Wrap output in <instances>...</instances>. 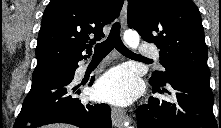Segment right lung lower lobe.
Returning a JSON list of instances; mask_svg holds the SVG:
<instances>
[{
    "mask_svg": "<svg viewBox=\"0 0 221 128\" xmlns=\"http://www.w3.org/2000/svg\"><path fill=\"white\" fill-rule=\"evenodd\" d=\"M78 64L33 79L14 128H36L51 123H68L80 128H111L107 104L83 105L73 82ZM93 79L90 85L93 83Z\"/></svg>",
    "mask_w": 221,
    "mask_h": 128,
    "instance_id": "obj_1",
    "label": "right lung lower lobe"
}]
</instances>
